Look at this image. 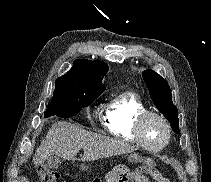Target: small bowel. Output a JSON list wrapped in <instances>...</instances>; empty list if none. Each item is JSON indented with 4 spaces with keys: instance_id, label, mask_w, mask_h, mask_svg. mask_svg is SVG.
I'll return each instance as SVG.
<instances>
[{
    "instance_id": "1",
    "label": "small bowel",
    "mask_w": 211,
    "mask_h": 182,
    "mask_svg": "<svg viewBox=\"0 0 211 182\" xmlns=\"http://www.w3.org/2000/svg\"><path fill=\"white\" fill-rule=\"evenodd\" d=\"M109 173H110V172H108V173H107V175L105 176V177H106V181H107V182H110V180L108 179V175H109Z\"/></svg>"
}]
</instances>
